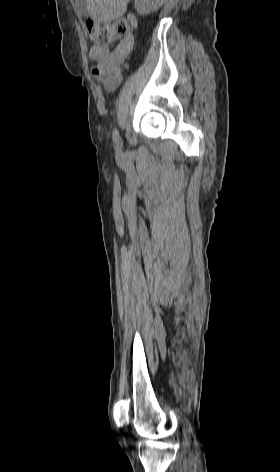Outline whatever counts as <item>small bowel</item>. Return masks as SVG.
I'll return each instance as SVG.
<instances>
[{
    "mask_svg": "<svg viewBox=\"0 0 280 472\" xmlns=\"http://www.w3.org/2000/svg\"><path fill=\"white\" fill-rule=\"evenodd\" d=\"M132 27H137L134 17L129 19ZM132 35L124 36L114 47H92L89 57L95 62L92 75L96 78L106 91H114L122 81V66L127 62L134 48Z\"/></svg>",
    "mask_w": 280,
    "mask_h": 472,
    "instance_id": "small-bowel-1",
    "label": "small bowel"
}]
</instances>
